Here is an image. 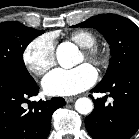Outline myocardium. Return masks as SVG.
I'll list each match as a JSON object with an SVG mask.
<instances>
[{
	"label": "myocardium",
	"instance_id": "f54148a6",
	"mask_svg": "<svg viewBox=\"0 0 139 139\" xmlns=\"http://www.w3.org/2000/svg\"><path fill=\"white\" fill-rule=\"evenodd\" d=\"M83 54L87 61L91 62L97 67H102L105 64L106 57L103 51L96 46L84 48Z\"/></svg>",
	"mask_w": 139,
	"mask_h": 139
}]
</instances>
